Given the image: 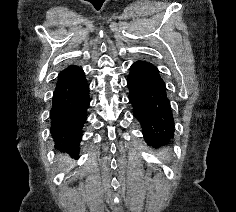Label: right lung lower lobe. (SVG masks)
I'll return each instance as SVG.
<instances>
[{
    "mask_svg": "<svg viewBox=\"0 0 236 212\" xmlns=\"http://www.w3.org/2000/svg\"><path fill=\"white\" fill-rule=\"evenodd\" d=\"M89 101V85L84 71L75 65L61 71L50 110L51 134L56 148L73 156L78 154Z\"/></svg>",
    "mask_w": 236,
    "mask_h": 212,
    "instance_id": "98d812e1",
    "label": "right lung lower lobe"
}]
</instances>
